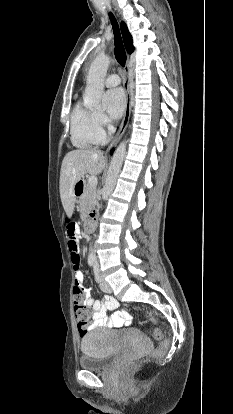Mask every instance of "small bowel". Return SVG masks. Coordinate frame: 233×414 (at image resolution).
I'll return each mask as SVG.
<instances>
[{
  "label": "small bowel",
  "mask_w": 233,
  "mask_h": 414,
  "mask_svg": "<svg viewBox=\"0 0 233 414\" xmlns=\"http://www.w3.org/2000/svg\"><path fill=\"white\" fill-rule=\"evenodd\" d=\"M75 235L80 236L81 232L76 231ZM70 261L75 271V281L72 284L73 293L78 295L85 293L86 303L92 310V327L120 328L129 326L133 320L132 315L125 310L118 309L119 303L114 297L106 295L102 301L95 300L90 293L91 285L82 284L84 276L81 272L82 268L78 251L71 252ZM109 311H114V313L108 315Z\"/></svg>",
  "instance_id": "1"
}]
</instances>
